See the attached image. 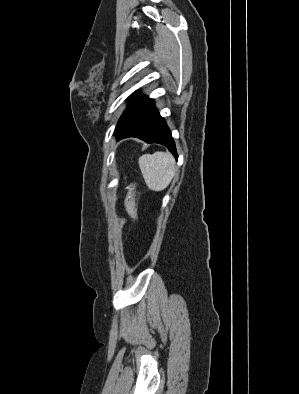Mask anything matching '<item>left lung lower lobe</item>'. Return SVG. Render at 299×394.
I'll return each instance as SVG.
<instances>
[{"label": "left lung lower lobe", "instance_id": "obj_1", "mask_svg": "<svg viewBox=\"0 0 299 394\" xmlns=\"http://www.w3.org/2000/svg\"><path fill=\"white\" fill-rule=\"evenodd\" d=\"M115 135L118 140L137 137L147 143L165 145L177 159L175 143L165 120L154 107V100L139 96L118 121Z\"/></svg>", "mask_w": 299, "mask_h": 394}]
</instances>
